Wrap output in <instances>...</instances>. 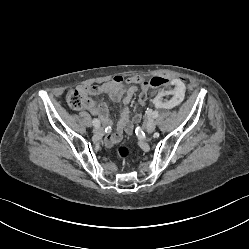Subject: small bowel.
Wrapping results in <instances>:
<instances>
[{"label":"small bowel","mask_w":249,"mask_h":249,"mask_svg":"<svg viewBox=\"0 0 249 249\" xmlns=\"http://www.w3.org/2000/svg\"><path fill=\"white\" fill-rule=\"evenodd\" d=\"M168 79L167 81H169ZM125 82L131 83L130 86H126ZM141 89V93L148 92L149 84L145 82L141 77H132L125 80L122 76H115L110 81L97 84V85H87L80 86L78 90H80L85 98L86 104L84 108L88 110L93 115L97 116L105 126H109L111 121L108 116V109L104 103H97L93 101L89 96L90 95H107L114 102H122L124 106L120 112V120L117 124V128L115 133L108 135L105 139L106 144L110 145L118 141L123 132H130L133 127V121H140L141 117L133 118V121L130 117V108L129 103L132 100L133 95Z\"/></svg>","instance_id":"small-bowel-1"}]
</instances>
